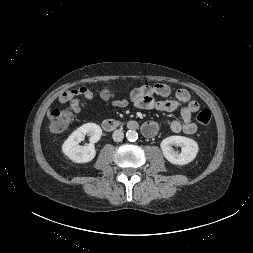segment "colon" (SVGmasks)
I'll return each mask as SVG.
<instances>
[{"label":"colon","mask_w":253,"mask_h":253,"mask_svg":"<svg viewBox=\"0 0 253 253\" xmlns=\"http://www.w3.org/2000/svg\"><path fill=\"white\" fill-rule=\"evenodd\" d=\"M101 96L105 99L111 98L114 91L111 87L106 86L101 90ZM198 123L206 126L211 121V111L209 109H202L196 116ZM73 120V114L70 110L55 109L51 113V130L54 133H60L67 129Z\"/></svg>","instance_id":"5ec220e1"}]
</instances>
